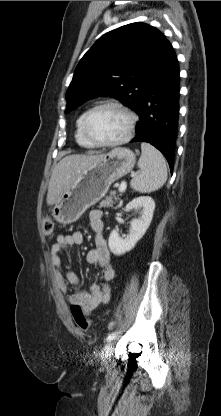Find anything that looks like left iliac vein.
I'll return each instance as SVG.
<instances>
[{
  "label": "left iliac vein",
  "mask_w": 221,
  "mask_h": 416,
  "mask_svg": "<svg viewBox=\"0 0 221 416\" xmlns=\"http://www.w3.org/2000/svg\"><path fill=\"white\" fill-rule=\"evenodd\" d=\"M112 347H113V342L108 343L105 347H104V353L105 355L110 353L112 351Z\"/></svg>",
  "instance_id": "obj_1"
}]
</instances>
